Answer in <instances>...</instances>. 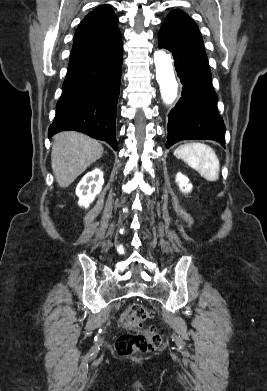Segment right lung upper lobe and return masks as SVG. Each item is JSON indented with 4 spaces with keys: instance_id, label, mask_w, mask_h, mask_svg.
Returning a JSON list of instances; mask_svg holds the SVG:
<instances>
[{
    "instance_id": "1",
    "label": "right lung upper lobe",
    "mask_w": 267,
    "mask_h": 391,
    "mask_svg": "<svg viewBox=\"0 0 267 391\" xmlns=\"http://www.w3.org/2000/svg\"><path fill=\"white\" fill-rule=\"evenodd\" d=\"M117 23L118 18L108 5L99 6L89 13L76 30L69 64L122 44Z\"/></svg>"
}]
</instances>
